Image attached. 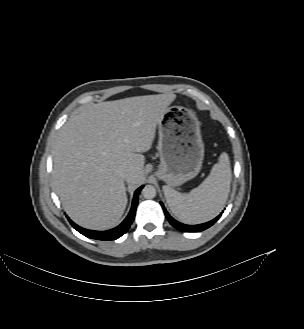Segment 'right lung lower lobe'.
Masks as SVG:
<instances>
[{"mask_svg": "<svg viewBox=\"0 0 304 329\" xmlns=\"http://www.w3.org/2000/svg\"><path fill=\"white\" fill-rule=\"evenodd\" d=\"M143 188V186H141L140 188H138L135 191L134 194V199L132 202V208L128 214V216L126 217V219L116 228H113L111 230L108 231H93V230H88V229H84L78 225H76L74 222H72L70 219H68L71 223V225L81 234H83L84 236L88 237V238H92V239H97V240H103V241H108V240H115L119 237H121L130 227L135 213H136V207L138 204V195L140 193V190Z\"/></svg>", "mask_w": 304, "mask_h": 329, "instance_id": "obj_1", "label": "right lung lower lobe"}]
</instances>
